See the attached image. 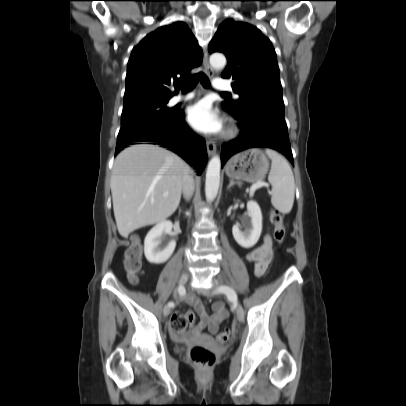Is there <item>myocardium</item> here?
<instances>
[{
  "mask_svg": "<svg viewBox=\"0 0 406 406\" xmlns=\"http://www.w3.org/2000/svg\"><path fill=\"white\" fill-rule=\"evenodd\" d=\"M236 133V127L232 124H229L224 132L226 137H231Z\"/></svg>",
  "mask_w": 406,
  "mask_h": 406,
  "instance_id": "1",
  "label": "myocardium"
}]
</instances>
